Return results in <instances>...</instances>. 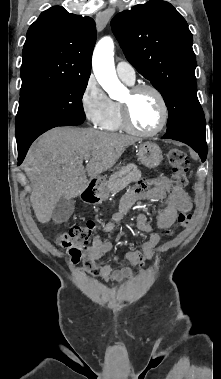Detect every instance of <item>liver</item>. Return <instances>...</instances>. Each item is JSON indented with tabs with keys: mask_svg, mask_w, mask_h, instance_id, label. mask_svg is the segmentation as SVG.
<instances>
[{
	"mask_svg": "<svg viewBox=\"0 0 221 379\" xmlns=\"http://www.w3.org/2000/svg\"><path fill=\"white\" fill-rule=\"evenodd\" d=\"M138 139L91 128H54L30 147L24 169L33 190L30 196L36 218L47 223L61 197L72 199L92 179L113 167L126 148ZM90 161L86 168L83 161Z\"/></svg>",
	"mask_w": 221,
	"mask_h": 379,
	"instance_id": "6515ba94",
	"label": "liver"
}]
</instances>
